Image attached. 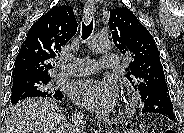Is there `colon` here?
Returning <instances> with one entry per match:
<instances>
[{"label": "colon", "instance_id": "1", "mask_svg": "<svg viewBox=\"0 0 184 133\" xmlns=\"http://www.w3.org/2000/svg\"><path fill=\"white\" fill-rule=\"evenodd\" d=\"M167 133H174V131L172 130H168V131H166Z\"/></svg>", "mask_w": 184, "mask_h": 133}]
</instances>
